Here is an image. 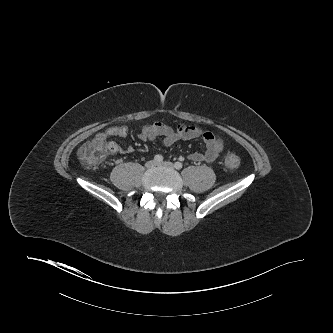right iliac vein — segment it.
Segmentation results:
<instances>
[{
    "label": "right iliac vein",
    "mask_w": 333,
    "mask_h": 333,
    "mask_svg": "<svg viewBox=\"0 0 333 333\" xmlns=\"http://www.w3.org/2000/svg\"><path fill=\"white\" fill-rule=\"evenodd\" d=\"M145 166L148 169L154 168L156 166V162L154 160L147 161Z\"/></svg>",
    "instance_id": "63e3f726"
}]
</instances>
